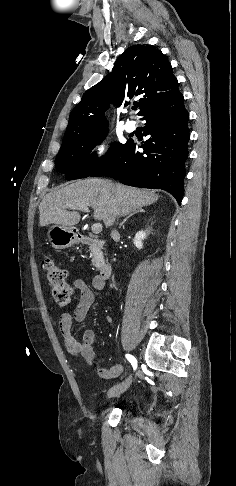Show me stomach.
I'll use <instances>...</instances> for the list:
<instances>
[{
  "label": "stomach",
  "mask_w": 236,
  "mask_h": 486,
  "mask_svg": "<svg viewBox=\"0 0 236 486\" xmlns=\"http://www.w3.org/2000/svg\"><path fill=\"white\" fill-rule=\"evenodd\" d=\"M48 238L53 248L65 249L71 247L78 241L74 227L64 225H53L48 231Z\"/></svg>",
  "instance_id": "0dacf381"
}]
</instances>
